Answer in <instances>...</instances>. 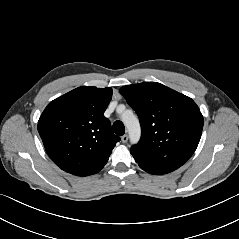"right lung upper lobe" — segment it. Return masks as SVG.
<instances>
[{
	"label": "right lung upper lobe",
	"mask_w": 239,
	"mask_h": 239,
	"mask_svg": "<svg viewBox=\"0 0 239 239\" xmlns=\"http://www.w3.org/2000/svg\"><path fill=\"white\" fill-rule=\"evenodd\" d=\"M112 89L82 86L51 101L38 121L46 152L65 172L98 173L120 138L103 115Z\"/></svg>",
	"instance_id": "obj_1"
}]
</instances>
